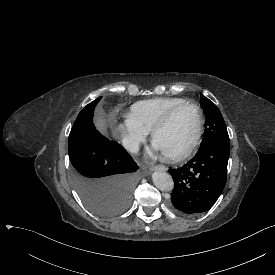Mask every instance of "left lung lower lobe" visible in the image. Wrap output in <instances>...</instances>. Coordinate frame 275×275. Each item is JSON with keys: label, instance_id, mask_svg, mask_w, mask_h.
Wrapping results in <instances>:
<instances>
[{"label": "left lung lower lobe", "instance_id": "1", "mask_svg": "<svg viewBox=\"0 0 275 275\" xmlns=\"http://www.w3.org/2000/svg\"><path fill=\"white\" fill-rule=\"evenodd\" d=\"M229 153V140L217 141L200 147L184 166L169 169L175 184L172 208L188 215L209 210L225 187Z\"/></svg>", "mask_w": 275, "mask_h": 275}]
</instances>
